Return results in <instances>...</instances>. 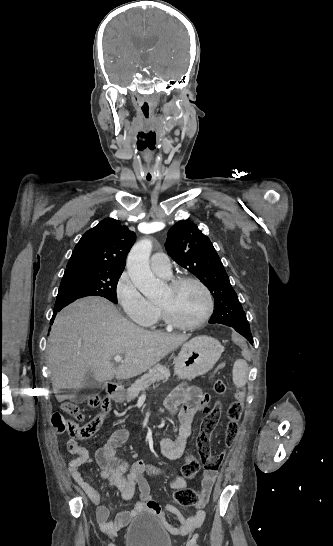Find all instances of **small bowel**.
<instances>
[{"instance_id":"obj_1","label":"small bowel","mask_w":333,"mask_h":546,"mask_svg":"<svg viewBox=\"0 0 333 546\" xmlns=\"http://www.w3.org/2000/svg\"><path fill=\"white\" fill-rule=\"evenodd\" d=\"M234 346L240 349L244 361L250 360L251 348L245 345L243 335L236 331L233 333ZM224 362L219 363L211 369L213 374L225 369ZM218 368V369H217ZM210 375V380H215V375ZM210 386L212 383H206ZM202 398L201 389L195 385H181L171 392L164 400V406L168 411H175L180 405L182 410L179 413L180 425L178 435L175 439L162 437L158 440L162 454L172 460L178 459L185 451L187 441L192 433V424ZM82 419V415L79 417ZM128 437L124 429L117 430L106 442L99 447L95 453L90 454L89 450L80 445L76 440L69 439L66 442V450L75 457L68 461V471L75 482L84 490L93 505L95 506L96 519L100 529L108 536H115L134 517L144 512L154 514L163 526L172 534L187 535L199 528L205 520L204 505L207 502L217 478L216 471H204L202 475V500L197 504L194 515L185 517L174 506L161 507L151 498L149 485L143 475L144 470L150 475L156 476L161 473L160 469L144 464L143 462L130 463L117 456L116 450L122 446ZM96 462L102 469L101 476L108 483L110 488L120 492L125 500H129L137 492V501L128 511H122L115 518L110 519V508L102 503L100 492L89 484L81 473L84 465ZM186 481L181 476H175L171 481L173 488H183ZM175 515L179 526H173L167 520V515Z\"/></svg>"}]
</instances>
